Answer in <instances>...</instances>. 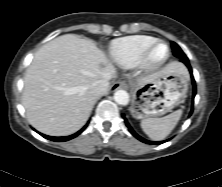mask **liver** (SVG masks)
Instances as JSON below:
<instances>
[{
  "instance_id": "obj_1",
  "label": "liver",
  "mask_w": 222,
  "mask_h": 187,
  "mask_svg": "<svg viewBox=\"0 0 222 187\" xmlns=\"http://www.w3.org/2000/svg\"><path fill=\"white\" fill-rule=\"evenodd\" d=\"M164 69L186 71L178 62ZM158 73L140 78L139 83ZM114 75V66L92 40L65 34L49 41L36 52L24 77L22 104L28 122L51 136L75 133L99 97L91 92V84Z\"/></svg>"
}]
</instances>
